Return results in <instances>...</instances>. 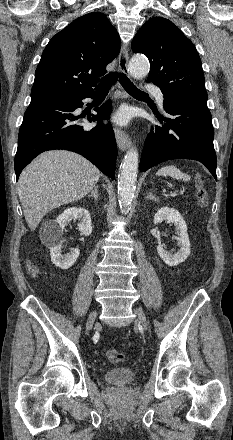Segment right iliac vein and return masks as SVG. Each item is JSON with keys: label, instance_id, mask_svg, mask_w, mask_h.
Wrapping results in <instances>:
<instances>
[{"label": "right iliac vein", "instance_id": "63e3f726", "mask_svg": "<svg viewBox=\"0 0 233 440\" xmlns=\"http://www.w3.org/2000/svg\"><path fill=\"white\" fill-rule=\"evenodd\" d=\"M96 317H97V312H96V311H93V312L90 314V316H89V318H88V321H87V323H86V329H87V331H89V330L92 328V326H93V324H94V322H95V320H96Z\"/></svg>", "mask_w": 233, "mask_h": 440}]
</instances>
